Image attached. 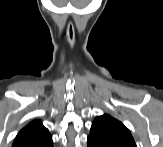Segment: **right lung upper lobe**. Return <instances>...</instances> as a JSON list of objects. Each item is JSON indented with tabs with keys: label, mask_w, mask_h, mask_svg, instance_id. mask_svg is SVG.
<instances>
[{
	"label": "right lung upper lobe",
	"mask_w": 163,
	"mask_h": 147,
	"mask_svg": "<svg viewBox=\"0 0 163 147\" xmlns=\"http://www.w3.org/2000/svg\"><path fill=\"white\" fill-rule=\"evenodd\" d=\"M48 130L40 120H35L24 127L16 136L14 142L27 139H40L50 137Z\"/></svg>",
	"instance_id": "cb5924a9"
}]
</instances>
